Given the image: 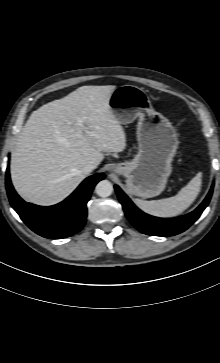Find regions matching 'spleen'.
<instances>
[{"mask_svg":"<svg viewBox=\"0 0 220 363\" xmlns=\"http://www.w3.org/2000/svg\"><path fill=\"white\" fill-rule=\"evenodd\" d=\"M201 177L202 173H197V175L173 197L152 201L135 199V203L142 211L152 216L160 218L176 217L185 211L198 196L202 184Z\"/></svg>","mask_w":220,"mask_h":363,"instance_id":"obj_1","label":"spleen"}]
</instances>
